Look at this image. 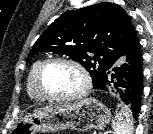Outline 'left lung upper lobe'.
Masks as SVG:
<instances>
[{
  "instance_id": "1",
  "label": "left lung upper lobe",
  "mask_w": 153,
  "mask_h": 134,
  "mask_svg": "<svg viewBox=\"0 0 153 134\" xmlns=\"http://www.w3.org/2000/svg\"><path fill=\"white\" fill-rule=\"evenodd\" d=\"M139 46L126 11L115 3L102 2L63 13L39 37L30 54H65L85 66L96 86L116 62Z\"/></svg>"
}]
</instances>
